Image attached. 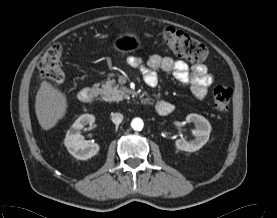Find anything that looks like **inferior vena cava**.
Returning a JSON list of instances; mask_svg holds the SVG:
<instances>
[{
  "instance_id": "obj_1",
  "label": "inferior vena cava",
  "mask_w": 277,
  "mask_h": 218,
  "mask_svg": "<svg viewBox=\"0 0 277 218\" xmlns=\"http://www.w3.org/2000/svg\"><path fill=\"white\" fill-rule=\"evenodd\" d=\"M111 120L114 124L118 125L123 121V115L121 113H118V112L113 113L112 117H111Z\"/></svg>"
}]
</instances>
